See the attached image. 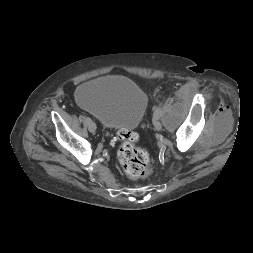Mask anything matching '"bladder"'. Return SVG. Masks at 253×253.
<instances>
[{
    "label": "bladder",
    "mask_w": 253,
    "mask_h": 253,
    "mask_svg": "<svg viewBox=\"0 0 253 253\" xmlns=\"http://www.w3.org/2000/svg\"><path fill=\"white\" fill-rule=\"evenodd\" d=\"M77 103L96 116L107 129L130 131L138 126L148 107V96L133 80L105 76L80 84Z\"/></svg>",
    "instance_id": "31cf9c89"
}]
</instances>
